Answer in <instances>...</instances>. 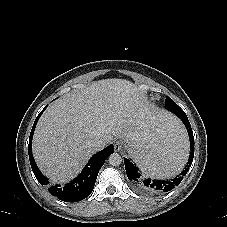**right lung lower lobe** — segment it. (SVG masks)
<instances>
[{"mask_svg": "<svg viewBox=\"0 0 227 227\" xmlns=\"http://www.w3.org/2000/svg\"><path fill=\"white\" fill-rule=\"evenodd\" d=\"M45 108L40 112V114L37 116L34 122V125L30 133L28 146L31 168L36 179L39 181L41 185H48L49 181L47 177L43 176V174L40 172L34 161L32 155V137L38 119L45 110ZM113 152H114L113 145H109L105 149L93 155L92 158L87 163L86 167L83 169V171L73 181L62 187L60 185L51 186L50 188H48V191L52 195L56 196L58 199L65 202H78L85 199L87 196L90 195L94 188L95 181L100 168L105 163L106 158L109 157Z\"/></svg>", "mask_w": 227, "mask_h": 227, "instance_id": "obj_1", "label": "right lung lower lobe"}]
</instances>
